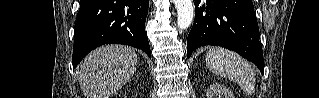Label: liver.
I'll return each instance as SVG.
<instances>
[{
    "mask_svg": "<svg viewBox=\"0 0 319 98\" xmlns=\"http://www.w3.org/2000/svg\"><path fill=\"white\" fill-rule=\"evenodd\" d=\"M138 56L133 48L106 45L88 54L78 67L85 98H110L133 76Z\"/></svg>",
    "mask_w": 319,
    "mask_h": 98,
    "instance_id": "obj_1",
    "label": "liver"
}]
</instances>
